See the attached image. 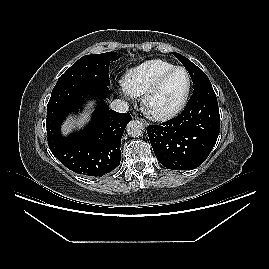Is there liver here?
Wrapping results in <instances>:
<instances>
[{
    "instance_id": "6515ba94",
    "label": "liver",
    "mask_w": 269,
    "mask_h": 269,
    "mask_svg": "<svg viewBox=\"0 0 269 269\" xmlns=\"http://www.w3.org/2000/svg\"><path fill=\"white\" fill-rule=\"evenodd\" d=\"M85 116H87V115H85ZM81 124H84L83 120L75 122L74 124L68 122L63 127V130L65 131V133H67L74 125H79L80 126Z\"/></svg>"
}]
</instances>
